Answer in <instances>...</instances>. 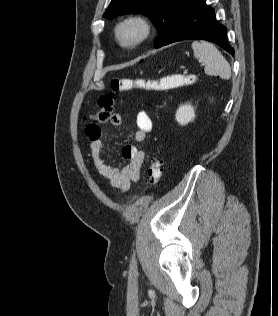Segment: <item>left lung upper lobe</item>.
Masks as SVG:
<instances>
[{
	"label": "left lung upper lobe",
	"mask_w": 278,
	"mask_h": 316,
	"mask_svg": "<svg viewBox=\"0 0 278 316\" xmlns=\"http://www.w3.org/2000/svg\"><path fill=\"white\" fill-rule=\"evenodd\" d=\"M190 0H112L104 13L114 18L127 13H143L158 29L155 47L159 48L170 38Z\"/></svg>",
	"instance_id": "obj_1"
}]
</instances>
